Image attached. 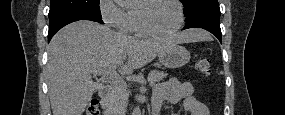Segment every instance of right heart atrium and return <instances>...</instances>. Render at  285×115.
<instances>
[{"instance_id": "d8ad5b80", "label": "right heart atrium", "mask_w": 285, "mask_h": 115, "mask_svg": "<svg viewBox=\"0 0 285 115\" xmlns=\"http://www.w3.org/2000/svg\"><path fill=\"white\" fill-rule=\"evenodd\" d=\"M100 13L106 24L128 32V12L115 0L100 1Z\"/></svg>"}]
</instances>
